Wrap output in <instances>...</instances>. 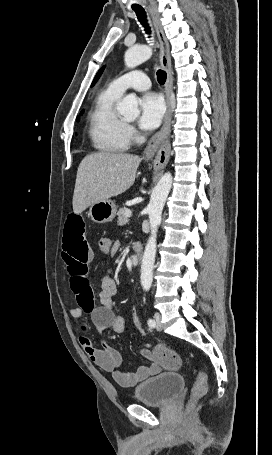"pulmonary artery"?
<instances>
[{"mask_svg":"<svg viewBox=\"0 0 272 455\" xmlns=\"http://www.w3.org/2000/svg\"><path fill=\"white\" fill-rule=\"evenodd\" d=\"M150 87L148 76L142 71L128 72L112 80L108 86L113 92L122 95L127 89L146 90Z\"/></svg>","mask_w":272,"mask_h":455,"instance_id":"1","label":"pulmonary artery"}]
</instances>
